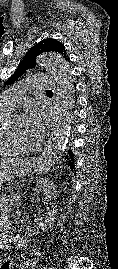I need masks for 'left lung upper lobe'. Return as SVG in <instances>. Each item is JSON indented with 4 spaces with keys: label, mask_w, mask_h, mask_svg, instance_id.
<instances>
[{
    "label": "left lung upper lobe",
    "mask_w": 118,
    "mask_h": 269,
    "mask_svg": "<svg viewBox=\"0 0 118 269\" xmlns=\"http://www.w3.org/2000/svg\"><path fill=\"white\" fill-rule=\"evenodd\" d=\"M43 52H56L61 55L63 58L68 60V56L66 54L65 46L62 45L61 42L56 39H44L39 42L37 45L32 47L25 55L24 59L19 64L18 68L14 72V74L6 81L7 84L13 83L20 76H22L27 69L34 68L36 64V57Z\"/></svg>",
    "instance_id": "5c2ea615"
}]
</instances>
